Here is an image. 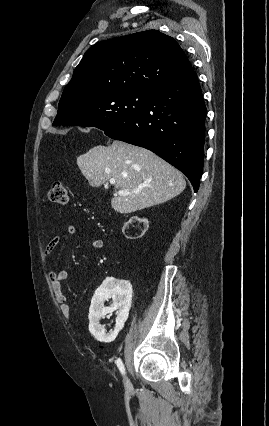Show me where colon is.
Listing matches in <instances>:
<instances>
[{
	"label": "colon",
	"instance_id": "colon-1",
	"mask_svg": "<svg viewBox=\"0 0 269 426\" xmlns=\"http://www.w3.org/2000/svg\"><path fill=\"white\" fill-rule=\"evenodd\" d=\"M49 198L53 203L65 205L68 202V189L64 182L56 181L49 191Z\"/></svg>",
	"mask_w": 269,
	"mask_h": 426
}]
</instances>
